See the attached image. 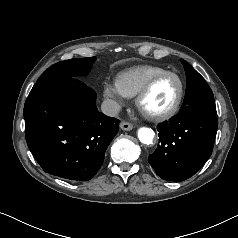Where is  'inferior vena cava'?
I'll list each match as a JSON object with an SVG mask.
<instances>
[{
    "instance_id": "1",
    "label": "inferior vena cava",
    "mask_w": 238,
    "mask_h": 238,
    "mask_svg": "<svg viewBox=\"0 0 238 238\" xmlns=\"http://www.w3.org/2000/svg\"><path fill=\"white\" fill-rule=\"evenodd\" d=\"M120 109H121V106L112 99H105L101 105L102 112L105 115L111 116V117L116 116L119 113Z\"/></svg>"
}]
</instances>
